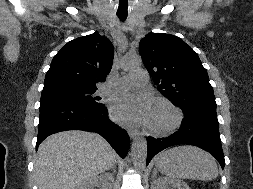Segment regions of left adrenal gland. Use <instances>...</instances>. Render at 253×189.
<instances>
[{"label": "left adrenal gland", "instance_id": "left-adrenal-gland-1", "mask_svg": "<svg viewBox=\"0 0 253 189\" xmlns=\"http://www.w3.org/2000/svg\"><path fill=\"white\" fill-rule=\"evenodd\" d=\"M157 175V170L156 169H154V171H153V178L155 177Z\"/></svg>", "mask_w": 253, "mask_h": 189}]
</instances>
